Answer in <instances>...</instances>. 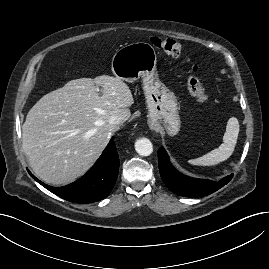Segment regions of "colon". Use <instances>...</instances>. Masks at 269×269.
Segmentation results:
<instances>
[{
    "instance_id": "1",
    "label": "colon",
    "mask_w": 269,
    "mask_h": 269,
    "mask_svg": "<svg viewBox=\"0 0 269 269\" xmlns=\"http://www.w3.org/2000/svg\"><path fill=\"white\" fill-rule=\"evenodd\" d=\"M153 47L174 58L184 57L183 46L181 43L170 38L153 37L150 39ZM196 66L194 63L189 64L187 76V88L189 93L202 104L207 103L208 95L202 87L198 77L196 76Z\"/></svg>"
}]
</instances>
